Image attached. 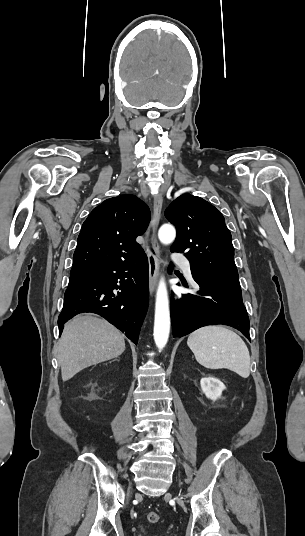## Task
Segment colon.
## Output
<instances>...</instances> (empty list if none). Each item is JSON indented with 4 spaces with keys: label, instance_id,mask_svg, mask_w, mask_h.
<instances>
[{
    "label": "colon",
    "instance_id": "obj_1",
    "mask_svg": "<svg viewBox=\"0 0 305 536\" xmlns=\"http://www.w3.org/2000/svg\"><path fill=\"white\" fill-rule=\"evenodd\" d=\"M147 520L149 523H152V524H155V523H158L160 518H159V515L155 512H150L148 515H147Z\"/></svg>",
    "mask_w": 305,
    "mask_h": 536
}]
</instances>
